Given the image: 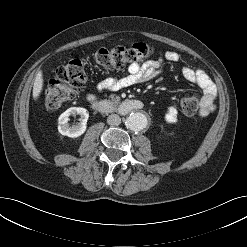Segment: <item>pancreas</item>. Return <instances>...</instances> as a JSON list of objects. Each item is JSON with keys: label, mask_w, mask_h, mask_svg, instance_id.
I'll return each mask as SVG.
<instances>
[{"label": "pancreas", "mask_w": 247, "mask_h": 247, "mask_svg": "<svg viewBox=\"0 0 247 247\" xmlns=\"http://www.w3.org/2000/svg\"><path fill=\"white\" fill-rule=\"evenodd\" d=\"M109 98L113 104H118L120 102V97L115 94L110 95Z\"/></svg>", "instance_id": "obj_1"}]
</instances>
